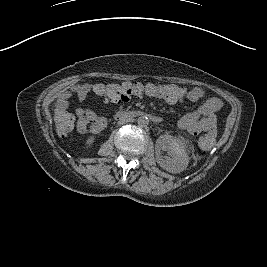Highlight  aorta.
I'll list each match as a JSON object with an SVG mask.
<instances>
[{
	"label": "aorta",
	"mask_w": 267,
	"mask_h": 267,
	"mask_svg": "<svg viewBox=\"0 0 267 267\" xmlns=\"http://www.w3.org/2000/svg\"><path fill=\"white\" fill-rule=\"evenodd\" d=\"M137 124L139 127H146L149 124V119L146 116H140L137 119Z\"/></svg>",
	"instance_id": "obj_1"
}]
</instances>
